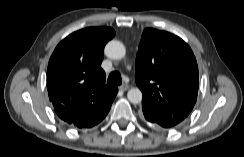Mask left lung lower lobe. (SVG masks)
<instances>
[{
    "label": "left lung lower lobe",
    "mask_w": 244,
    "mask_h": 157,
    "mask_svg": "<svg viewBox=\"0 0 244 157\" xmlns=\"http://www.w3.org/2000/svg\"><path fill=\"white\" fill-rule=\"evenodd\" d=\"M143 114H144V117H145V119L147 120V121H149L150 123H153V124H155L156 126H158V127H161L158 123H156L146 112H143Z\"/></svg>",
    "instance_id": "1"
}]
</instances>
